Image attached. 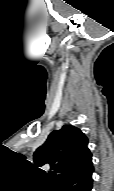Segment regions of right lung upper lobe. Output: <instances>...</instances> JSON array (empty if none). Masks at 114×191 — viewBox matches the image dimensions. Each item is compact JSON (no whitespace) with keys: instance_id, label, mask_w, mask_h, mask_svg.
<instances>
[{"instance_id":"cb5924a9","label":"right lung upper lobe","mask_w":114,"mask_h":191,"mask_svg":"<svg viewBox=\"0 0 114 191\" xmlns=\"http://www.w3.org/2000/svg\"><path fill=\"white\" fill-rule=\"evenodd\" d=\"M88 139L77 127L64 125L50 133L45 143L34 153V167H50L48 174L56 185L65 179L93 169L92 154L87 147ZM24 157V156H22Z\"/></svg>"}]
</instances>
